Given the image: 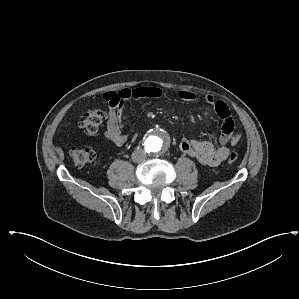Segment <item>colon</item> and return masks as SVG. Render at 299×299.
I'll return each instance as SVG.
<instances>
[{"instance_id": "1", "label": "colon", "mask_w": 299, "mask_h": 299, "mask_svg": "<svg viewBox=\"0 0 299 299\" xmlns=\"http://www.w3.org/2000/svg\"><path fill=\"white\" fill-rule=\"evenodd\" d=\"M104 119V113L99 109H92L82 116L79 121L80 128L89 135H96L99 133V127ZM70 155L73 163L77 167L85 166L95 159V152L89 146H74L70 149ZM238 156L232 152L228 156V161L233 163L237 160Z\"/></svg>"}]
</instances>
